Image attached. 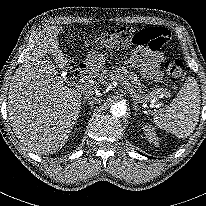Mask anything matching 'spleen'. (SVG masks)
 Wrapping results in <instances>:
<instances>
[{
  "label": "spleen",
  "mask_w": 206,
  "mask_h": 206,
  "mask_svg": "<svg viewBox=\"0 0 206 206\" xmlns=\"http://www.w3.org/2000/svg\"><path fill=\"white\" fill-rule=\"evenodd\" d=\"M200 103L199 85L194 77H188L169 107L154 114L153 122L168 133L186 138L195 130Z\"/></svg>",
  "instance_id": "3e777b00"
}]
</instances>
